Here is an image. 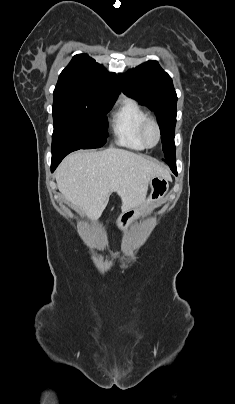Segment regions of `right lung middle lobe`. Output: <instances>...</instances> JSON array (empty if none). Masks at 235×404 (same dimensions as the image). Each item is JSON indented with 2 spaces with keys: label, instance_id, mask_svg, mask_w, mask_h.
Masks as SVG:
<instances>
[{
  "label": "right lung middle lobe",
  "instance_id": "1",
  "mask_svg": "<svg viewBox=\"0 0 235 404\" xmlns=\"http://www.w3.org/2000/svg\"><path fill=\"white\" fill-rule=\"evenodd\" d=\"M113 103L54 93L52 151L102 147L108 136L106 113Z\"/></svg>",
  "mask_w": 235,
  "mask_h": 404
}]
</instances>
